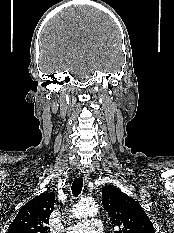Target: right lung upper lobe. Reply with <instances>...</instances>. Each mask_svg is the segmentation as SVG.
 Returning a JSON list of instances; mask_svg holds the SVG:
<instances>
[{"label":"right lung upper lobe","instance_id":"cb5924a9","mask_svg":"<svg viewBox=\"0 0 174 233\" xmlns=\"http://www.w3.org/2000/svg\"><path fill=\"white\" fill-rule=\"evenodd\" d=\"M54 203V192H44L36 196L20 209L9 226L8 233H46Z\"/></svg>","mask_w":174,"mask_h":233}]
</instances>
